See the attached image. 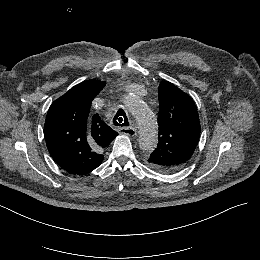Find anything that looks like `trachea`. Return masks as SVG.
Here are the masks:
<instances>
[{
	"label": "trachea",
	"instance_id": "trachea-1",
	"mask_svg": "<svg viewBox=\"0 0 260 260\" xmlns=\"http://www.w3.org/2000/svg\"><path fill=\"white\" fill-rule=\"evenodd\" d=\"M113 124L115 126L126 127L129 125L128 118L123 109H119L113 118Z\"/></svg>",
	"mask_w": 260,
	"mask_h": 260
}]
</instances>
